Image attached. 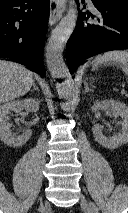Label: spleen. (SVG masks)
I'll return each mask as SVG.
<instances>
[{"mask_svg": "<svg viewBox=\"0 0 128 213\" xmlns=\"http://www.w3.org/2000/svg\"><path fill=\"white\" fill-rule=\"evenodd\" d=\"M110 61L120 63L122 70L128 76V51H109L103 55H98L93 61L92 70H95L99 65Z\"/></svg>", "mask_w": 128, "mask_h": 213, "instance_id": "obj_1", "label": "spleen"}]
</instances>
